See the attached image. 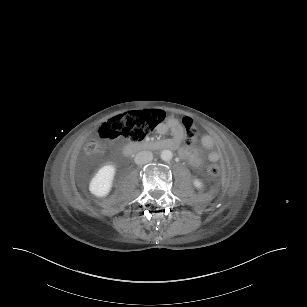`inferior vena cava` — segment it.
Here are the masks:
<instances>
[{"label":"inferior vena cava","mask_w":307,"mask_h":307,"mask_svg":"<svg viewBox=\"0 0 307 307\" xmlns=\"http://www.w3.org/2000/svg\"><path fill=\"white\" fill-rule=\"evenodd\" d=\"M153 160V154L150 151L138 152L134 158V162L137 165H144L150 163Z\"/></svg>","instance_id":"obj_1"}]
</instances>
